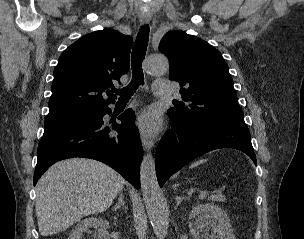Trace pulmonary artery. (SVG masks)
Returning a JSON list of instances; mask_svg holds the SVG:
<instances>
[{"instance_id": "1", "label": "pulmonary artery", "mask_w": 304, "mask_h": 239, "mask_svg": "<svg viewBox=\"0 0 304 239\" xmlns=\"http://www.w3.org/2000/svg\"><path fill=\"white\" fill-rule=\"evenodd\" d=\"M153 88L154 94L158 97H168L173 93L171 84L167 81H156Z\"/></svg>"}]
</instances>
